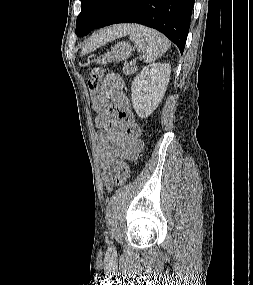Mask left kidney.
Masks as SVG:
<instances>
[{
  "label": "left kidney",
  "mask_w": 253,
  "mask_h": 285,
  "mask_svg": "<svg viewBox=\"0 0 253 285\" xmlns=\"http://www.w3.org/2000/svg\"><path fill=\"white\" fill-rule=\"evenodd\" d=\"M171 67L154 63L144 67L132 83L133 108L140 118H147L158 107L169 83Z\"/></svg>",
  "instance_id": "1"
}]
</instances>
